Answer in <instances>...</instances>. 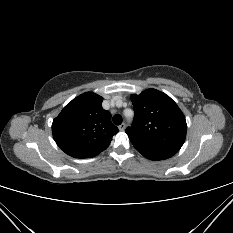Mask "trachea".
<instances>
[{
	"instance_id": "trachea-1",
	"label": "trachea",
	"mask_w": 233,
	"mask_h": 233,
	"mask_svg": "<svg viewBox=\"0 0 233 233\" xmlns=\"http://www.w3.org/2000/svg\"><path fill=\"white\" fill-rule=\"evenodd\" d=\"M112 120L115 125H120L122 123V116L120 114H116L113 116Z\"/></svg>"
}]
</instances>
